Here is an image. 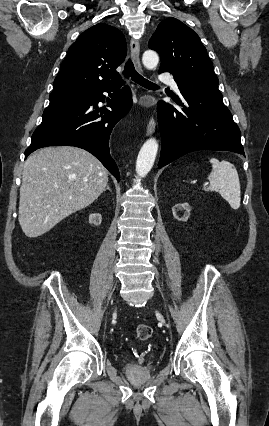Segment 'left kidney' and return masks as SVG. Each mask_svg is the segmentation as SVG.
I'll list each match as a JSON object with an SVG mask.
<instances>
[{"label": "left kidney", "mask_w": 269, "mask_h": 426, "mask_svg": "<svg viewBox=\"0 0 269 426\" xmlns=\"http://www.w3.org/2000/svg\"><path fill=\"white\" fill-rule=\"evenodd\" d=\"M183 211L181 213V215H178V212ZM190 211H191V207L190 205L185 202V203H178L176 204L173 208H172V213L174 218H176L178 221H186L187 218L190 215Z\"/></svg>", "instance_id": "obj_1"}]
</instances>
